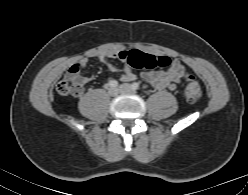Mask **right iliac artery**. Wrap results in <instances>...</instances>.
Masks as SVG:
<instances>
[{"instance_id":"82829eb1","label":"right iliac artery","mask_w":248,"mask_h":195,"mask_svg":"<svg viewBox=\"0 0 248 195\" xmlns=\"http://www.w3.org/2000/svg\"><path fill=\"white\" fill-rule=\"evenodd\" d=\"M108 85L110 87H117L118 86V82L116 80H110Z\"/></svg>"}]
</instances>
